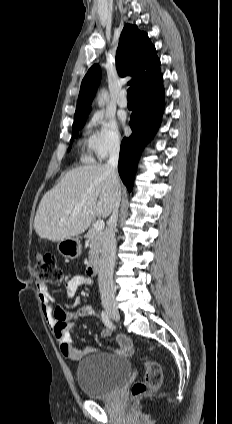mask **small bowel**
Masks as SVG:
<instances>
[{
  "label": "small bowel",
  "mask_w": 232,
  "mask_h": 424,
  "mask_svg": "<svg viewBox=\"0 0 232 424\" xmlns=\"http://www.w3.org/2000/svg\"><path fill=\"white\" fill-rule=\"evenodd\" d=\"M91 284L92 280L90 278L75 275L65 283V294L68 298H73L80 286ZM36 290L44 318L58 343L62 355L70 360H80L88 354L97 352L98 349L92 346H78L70 335V330L74 328L77 320L94 314L93 308L90 305H80L74 310H66L61 307L54 308L52 305L53 296L49 292L48 287L43 283H37ZM110 334L111 331L109 328L101 330V336L103 338L109 337ZM116 342L117 348L114 350L115 353L122 355H130L132 353V343L125 335L119 334Z\"/></svg>",
  "instance_id": "c3829d8e"
}]
</instances>
